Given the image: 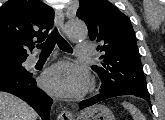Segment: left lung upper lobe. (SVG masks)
Wrapping results in <instances>:
<instances>
[{
  "mask_svg": "<svg viewBox=\"0 0 165 120\" xmlns=\"http://www.w3.org/2000/svg\"><path fill=\"white\" fill-rule=\"evenodd\" d=\"M77 16L103 52L102 61L92 66L102 80L101 92L150 97L129 18L108 0H79Z\"/></svg>",
  "mask_w": 165,
  "mask_h": 120,
  "instance_id": "5c2ea615",
  "label": "left lung upper lobe"
}]
</instances>
